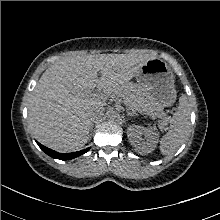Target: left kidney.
Wrapping results in <instances>:
<instances>
[{
  "instance_id": "5707ae66",
  "label": "left kidney",
  "mask_w": 220,
  "mask_h": 220,
  "mask_svg": "<svg viewBox=\"0 0 220 220\" xmlns=\"http://www.w3.org/2000/svg\"><path fill=\"white\" fill-rule=\"evenodd\" d=\"M127 136L135 151L142 155L154 151L158 142V134L154 129H148L139 125L128 127ZM142 136L145 137L146 141L143 140Z\"/></svg>"
}]
</instances>
